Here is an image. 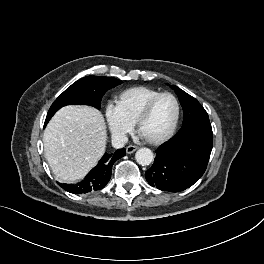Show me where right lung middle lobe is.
<instances>
[{
  "instance_id": "obj_1",
  "label": "right lung middle lobe",
  "mask_w": 264,
  "mask_h": 264,
  "mask_svg": "<svg viewBox=\"0 0 264 264\" xmlns=\"http://www.w3.org/2000/svg\"><path fill=\"white\" fill-rule=\"evenodd\" d=\"M122 81L111 77L87 76L67 88L50 107L45 123L54 113L65 105L85 104L100 109L101 99L105 92Z\"/></svg>"
}]
</instances>
